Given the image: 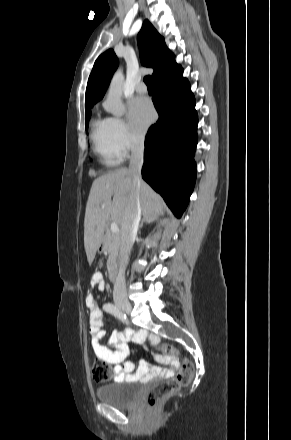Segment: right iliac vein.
I'll list each match as a JSON object with an SVG mask.
<instances>
[{"mask_svg": "<svg viewBox=\"0 0 291 440\" xmlns=\"http://www.w3.org/2000/svg\"><path fill=\"white\" fill-rule=\"evenodd\" d=\"M118 306H119L123 311H125L126 313H130L131 310H132V306H131L130 302L127 301V300H121V301H119V302H118Z\"/></svg>", "mask_w": 291, "mask_h": 440, "instance_id": "63e3f726", "label": "right iliac vein"}]
</instances>
